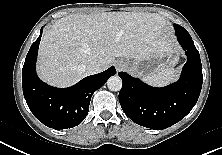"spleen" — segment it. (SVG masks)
Listing matches in <instances>:
<instances>
[{
	"mask_svg": "<svg viewBox=\"0 0 222 155\" xmlns=\"http://www.w3.org/2000/svg\"><path fill=\"white\" fill-rule=\"evenodd\" d=\"M176 77L174 68H165L159 72L152 73L143 78L144 81L155 86H164L172 83Z\"/></svg>",
	"mask_w": 222,
	"mask_h": 155,
	"instance_id": "obj_1",
	"label": "spleen"
}]
</instances>
